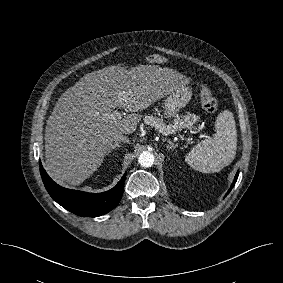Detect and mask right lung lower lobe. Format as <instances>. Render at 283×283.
Here are the masks:
<instances>
[{
    "label": "right lung lower lobe",
    "instance_id": "right-lung-lower-lobe-1",
    "mask_svg": "<svg viewBox=\"0 0 283 283\" xmlns=\"http://www.w3.org/2000/svg\"><path fill=\"white\" fill-rule=\"evenodd\" d=\"M39 165L44 186L50 196L58 204L78 216L97 217L111 211L118 205L124 192L126 175L111 190L102 193H87L59 186L48 176L41 162Z\"/></svg>",
    "mask_w": 283,
    "mask_h": 283
}]
</instances>
